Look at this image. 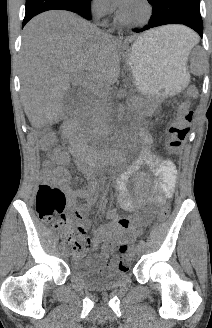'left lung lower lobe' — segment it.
<instances>
[{
	"mask_svg": "<svg viewBox=\"0 0 212 328\" xmlns=\"http://www.w3.org/2000/svg\"><path fill=\"white\" fill-rule=\"evenodd\" d=\"M152 16L147 25L135 32H142L166 24H183L203 36V22L199 0H148Z\"/></svg>",
	"mask_w": 212,
	"mask_h": 328,
	"instance_id": "0a47b994",
	"label": "left lung lower lobe"
}]
</instances>
